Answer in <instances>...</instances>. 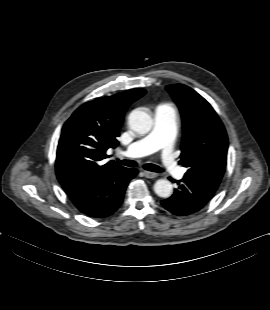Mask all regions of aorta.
<instances>
[{"label":"aorta","mask_w":270,"mask_h":310,"mask_svg":"<svg viewBox=\"0 0 270 310\" xmlns=\"http://www.w3.org/2000/svg\"><path fill=\"white\" fill-rule=\"evenodd\" d=\"M130 128L140 135L147 134L152 128V118L143 109L132 111L128 118ZM155 193L162 198H168L173 193L172 184L167 179H158L154 184Z\"/></svg>","instance_id":"762f6f07"}]
</instances>
